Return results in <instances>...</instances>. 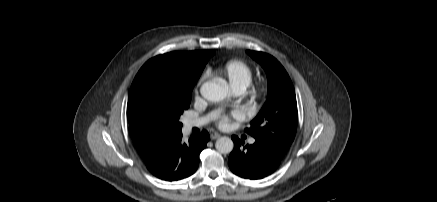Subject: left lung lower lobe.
Here are the masks:
<instances>
[{
  "mask_svg": "<svg viewBox=\"0 0 437 202\" xmlns=\"http://www.w3.org/2000/svg\"><path fill=\"white\" fill-rule=\"evenodd\" d=\"M232 140L234 149L228 158L229 167L242 178L262 179L272 174L283 159L258 141L244 146L237 136H232Z\"/></svg>",
  "mask_w": 437,
  "mask_h": 202,
  "instance_id": "1",
  "label": "left lung lower lobe"
}]
</instances>
